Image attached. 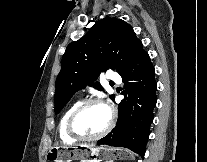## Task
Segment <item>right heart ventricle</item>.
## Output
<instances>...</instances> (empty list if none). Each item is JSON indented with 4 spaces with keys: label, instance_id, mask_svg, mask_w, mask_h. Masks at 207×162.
<instances>
[{
    "label": "right heart ventricle",
    "instance_id": "obj_1",
    "mask_svg": "<svg viewBox=\"0 0 207 162\" xmlns=\"http://www.w3.org/2000/svg\"><path fill=\"white\" fill-rule=\"evenodd\" d=\"M81 103L80 100L74 102L72 105H70L67 110L63 113L60 122H59V126H58V131H59V136L60 139L64 142H72L75 141V138L70 137L67 134L66 131V122L67 119L69 117V115L71 114V112Z\"/></svg>",
    "mask_w": 207,
    "mask_h": 162
}]
</instances>
